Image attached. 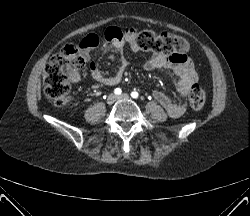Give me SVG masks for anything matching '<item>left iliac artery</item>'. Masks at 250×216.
Returning <instances> with one entry per match:
<instances>
[{
  "mask_svg": "<svg viewBox=\"0 0 250 216\" xmlns=\"http://www.w3.org/2000/svg\"><path fill=\"white\" fill-rule=\"evenodd\" d=\"M131 96H132V98H138V96H139V94H138V92H136V91H133L132 93H131Z\"/></svg>",
  "mask_w": 250,
  "mask_h": 216,
  "instance_id": "44dca946",
  "label": "left iliac artery"
}]
</instances>
